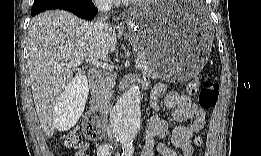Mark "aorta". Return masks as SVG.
<instances>
[{
  "label": "aorta",
  "instance_id": "1",
  "mask_svg": "<svg viewBox=\"0 0 261 156\" xmlns=\"http://www.w3.org/2000/svg\"><path fill=\"white\" fill-rule=\"evenodd\" d=\"M141 94L137 85H132L120 98L111 113V127L121 143L131 142L141 126Z\"/></svg>",
  "mask_w": 261,
  "mask_h": 156
}]
</instances>
